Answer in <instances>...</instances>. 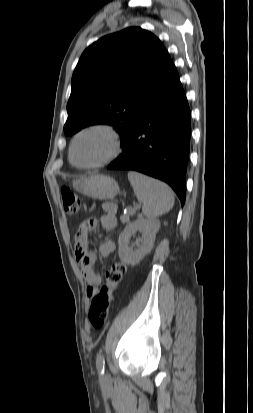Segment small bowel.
Segmentation results:
<instances>
[{
  "instance_id": "1",
  "label": "small bowel",
  "mask_w": 253,
  "mask_h": 413,
  "mask_svg": "<svg viewBox=\"0 0 253 413\" xmlns=\"http://www.w3.org/2000/svg\"><path fill=\"white\" fill-rule=\"evenodd\" d=\"M103 214L99 217V222L105 230H112L117 223V205L112 202H106L102 206ZM97 224L95 218L84 220L75 236V256L81 267L82 275L88 284L87 296L91 298L97 292V286L100 284V277L94 270L96 262V254L90 249L88 243V233L92 231ZM115 249V244L112 240H105L99 246V254L102 258L109 257Z\"/></svg>"
}]
</instances>
